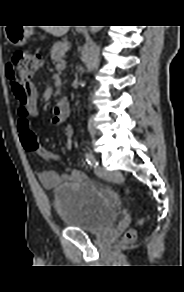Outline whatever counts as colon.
I'll return each mask as SVG.
<instances>
[{
    "instance_id": "obj_1",
    "label": "colon",
    "mask_w": 184,
    "mask_h": 292,
    "mask_svg": "<svg viewBox=\"0 0 184 292\" xmlns=\"http://www.w3.org/2000/svg\"><path fill=\"white\" fill-rule=\"evenodd\" d=\"M42 63L41 57L26 51H17L13 54L7 66V75L17 99V109L20 125V141L24 149L35 157L47 162H56L57 154L44 148L31 126V120L39 114L40 101L36 88L31 84L35 73ZM129 195V190H126ZM143 219H138L142 224ZM136 233L133 229L128 230L125 239L133 241Z\"/></svg>"
}]
</instances>
